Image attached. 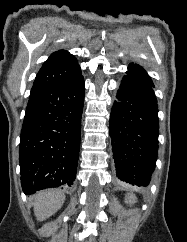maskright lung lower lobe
<instances>
[{"label": "right lung lower lobe", "instance_id": "1", "mask_svg": "<svg viewBox=\"0 0 187 242\" xmlns=\"http://www.w3.org/2000/svg\"><path fill=\"white\" fill-rule=\"evenodd\" d=\"M84 78L31 92L21 130V185L30 195L38 190L71 186L80 149Z\"/></svg>", "mask_w": 187, "mask_h": 242}]
</instances>
